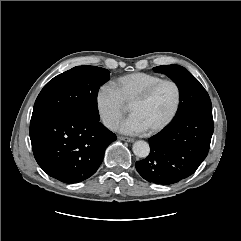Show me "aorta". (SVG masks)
Listing matches in <instances>:
<instances>
[{"label": "aorta", "mask_w": 241, "mask_h": 241, "mask_svg": "<svg viewBox=\"0 0 241 241\" xmlns=\"http://www.w3.org/2000/svg\"><path fill=\"white\" fill-rule=\"evenodd\" d=\"M133 153L140 158H146L150 153V146L147 142L139 140L133 144Z\"/></svg>", "instance_id": "1"}]
</instances>
